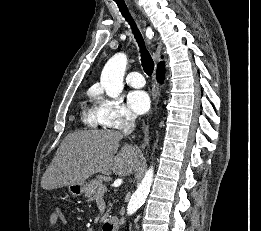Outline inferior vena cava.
Masks as SVG:
<instances>
[{
    "label": "inferior vena cava",
    "instance_id": "obj_1",
    "mask_svg": "<svg viewBox=\"0 0 261 231\" xmlns=\"http://www.w3.org/2000/svg\"><path fill=\"white\" fill-rule=\"evenodd\" d=\"M135 129V118L132 116H127L123 125V134L129 135Z\"/></svg>",
    "mask_w": 261,
    "mask_h": 231
}]
</instances>
